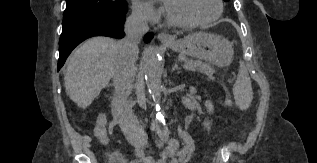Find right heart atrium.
Listing matches in <instances>:
<instances>
[{
  "label": "right heart atrium",
  "mask_w": 317,
  "mask_h": 163,
  "mask_svg": "<svg viewBox=\"0 0 317 163\" xmlns=\"http://www.w3.org/2000/svg\"><path fill=\"white\" fill-rule=\"evenodd\" d=\"M161 13V9L149 0H132V14L143 22L154 24L160 19Z\"/></svg>",
  "instance_id": "d8ad5b80"
}]
</instances>
